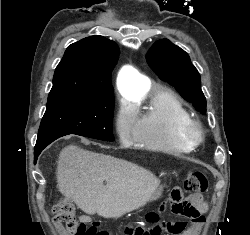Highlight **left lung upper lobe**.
Masks as SVG:
<instances>
[{
    "label": "left lung upper lobe",
    "mask_w": 250,
    "mask_h": 235,
    "mask_svg": "<svg viewBox=\"0 0 250 235\" xmlns=\"http://www.w3.org/2000/svg\"><path fill=\"white\" fill-rule=\"evenodd\" d=\"M147 62L162 80L174 86L199 112L206 111L200 75L184 50L167 39H161L152 46Z\"/></svg>",
    "instance_id": "1"
}]
</instances>
